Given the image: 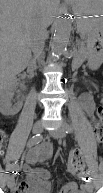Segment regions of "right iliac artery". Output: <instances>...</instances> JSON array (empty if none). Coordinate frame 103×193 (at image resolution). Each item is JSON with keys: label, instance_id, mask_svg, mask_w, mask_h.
Listing matches in <instances>:
<instances>
[{"label": "right iliac artery", "instance_id": "82829eb1", "mask_svg": "<svg viewBox=\"0 0 103 193\" xmlns=\"http://www.w3.org/2000/svg\"><path fill=\"white\" fill-rule=\"evenodd\" d=\"M41 140H42V135L41 134H36L28 141L27 147L30 148V147L38 144L39 142H41ZM18 172H19V165L16 164L13 167L12 173H13V175H16V174H18Z\"/></svg>", "mask_w": 103, "mask_h": 193}]
</instances>
